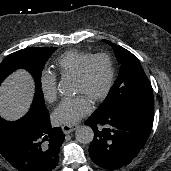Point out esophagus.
<instances>
[{"mask_svg":"<svg viewBox=\"0 0 171 171\" xmlns=\"http://www.w3.org/2000/svg\"><path fill=\"white\" fill-rule=\"evenodd\" d=\"M61 128L64 134H69L77 128V125H63Z\"/></svg>","mask_w":171,"mask_h":171,"instance_id":"esophagus-1","label":"esophagus"}]
</instances>
